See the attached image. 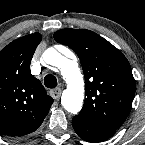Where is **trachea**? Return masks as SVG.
<instances>
[{"mask_svg": "<svg viewBox=\"0 0 145 145\" xmlns=\"http://www.w3.org/2000/svg\"><path fill=\"white\" fill-rule=\"evenodd\" d=\"M44 84L47 88H50V89H54L58 85L56 77L50 74L45 76Z\"/></svg>", "mask_w": 145, "mask_h": 145, "instance_id": "3493384b", "label": "trachea"}]
</instances>
